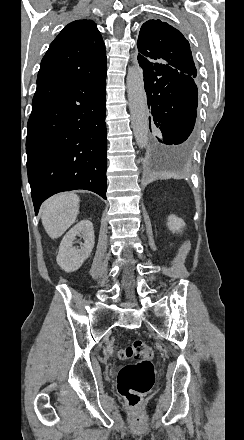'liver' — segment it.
Wrapping results in <instances>:
<instances>
[{
    "label": "liver",
    "instance_id": "6515ba94",
    "mask_svg": "<svg viewBox=\"0 0 244 440\" xmlns=\"http://www.w3.org/2000/svg\"><path fill=\"white\" fill-rule=\"evenodd\" d=\"M79 198L76 194H56L46 200L42 210V224L52 240L60 238L79 214Z\"/></svg>",
    "mask_w": 244,
    "mask_h": 440
}]
</instances>
